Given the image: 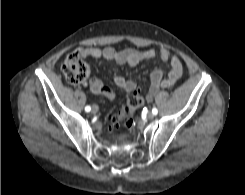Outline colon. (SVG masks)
Listing matches in <instances>:
<instances>
[{
    "label": "colon",
    "instance_id": "obj_1",
    "mask_svg": "<svg viewBox=\"0 0 245 195\" xmlns=\"http://www.w3.org/2000/svg\"><path fill=\"white\" fill-rule=\"evenodd\" d=\"M61 70L65 78L72 84H82L89 76V66L78 51L69 54L65 58ZM143 100L144 96L140 90L133 91L127 102L121 106L116 114L109 118L108 126L118 128L121 124H125L131 127L133 125L132 115Z\"/></svg>",
    "mask_w": 245,
    "mask_h": 195
}]
</instances>
